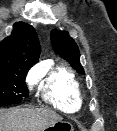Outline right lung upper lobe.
<instances>
[{
    "label": "right lung upper lobe",
    "mask_w": 117,
    "mask_h": 131,
    "mask_svg": "<svg viewBox=\"0 0 117 131\" xmlns=\"http://www.w3.org/2000/svg\"><path fill=\"white\" fill-rule=\"evenodd\" d=\"M39 48L35 29L24 22H17L12 34L0 42V67L18 65L30 69L38 62Z\"/></svg>",
    "instance_id": "1"
}]
</instances>
